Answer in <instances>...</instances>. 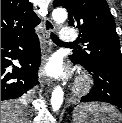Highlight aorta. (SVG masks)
<instances>
[{
    "label": "aorta",
    "instance_id": "1",
    "mask_svg": "<svg viewBox=\"0 0 122 123\" xmlns=\"http://www.w3.org/2000/svg\"><path fill=\"white\" fill-rule=\"evenodd\" d=\"M67 12L63 8H56L52 12L53 20L60 24L63 23L67 19ZM64 93L63 89L60 86L54 88L51 96V106L53 111H58L63 103Z\"/></svg>",
    "mask_w": 122,
    "mask_h": 123
}]
</instances>
